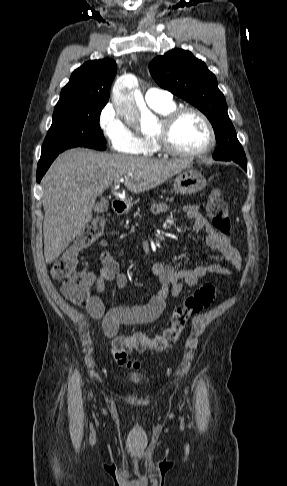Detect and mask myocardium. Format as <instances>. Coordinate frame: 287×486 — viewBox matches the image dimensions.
Wrapping results in <instances>:
<instances>
[{
    "mask_svg": "<svg viewBox=\"0 0 287 486\" xmlns=\"http://www.w3.org/2000/svg\"><path fill=\"white\" fill-rule=\"evenodd\" d=\"M186 113H193L197 115L202 120L207 130V144L203 148L196 151H181L175 148L170 140V134L175 123ZM152 139L160 151L180 158H196L203 156L209 153L216 145V133L211 121L203 111L193 106L178 107L164 115L160 120L158 130L152 135Z\"/></svg>",
    "mask_w": 287,
    "mask_h": 486,
    "instance_id": "1",
    "label": "myocardium"
}]
</instances>
